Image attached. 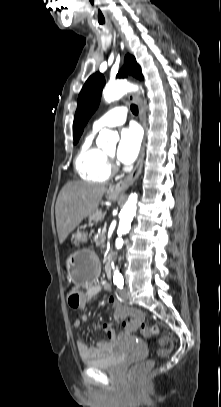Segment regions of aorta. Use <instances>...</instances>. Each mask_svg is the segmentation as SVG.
I'll use <instances>...</instances> for the list:
<instances>
[{
    "instance_id": "762f6f07",
    "label": "aorta",
    "mask_w": 221,
    "mask_h": 407,
    "mask_svg": "<svg viewBox=\"0 0 221 407\" xmlns=\"http://www.w3.org/2000/svg\"><path fill=\"white\" fill-rule=\"evenodd\" d=\"M138 90V87L128 83L127 81H117L114 83H109L106 85V87L103 90V97L107 103H111L117 99H120L124 94H126L129 91H136ZM111 132L109 130H102L99 133L97 143L102 144L105 143L106 140L110 137ZM137 201H138V196L136 193H131L130 196L128 197L127 202L125 203L123 209L120 212V222L117 230V239L115 242L116 248L119 250L123 246V239L122 236L126 233L129 232L131 228V222L136 214L137 210ZM122 276L118 269L114 271V276L113 279L114 281H117L121 279Z\"/></svg>"
}]
</instances>
